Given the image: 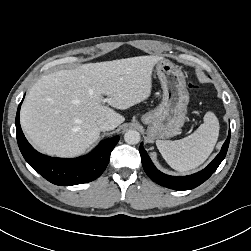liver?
Segmentation results:
<instances>
[{
    "label": "liver",
    "instance_id": "obj_1",
    "mask_svg": "<svg viewBox=\"0 0 251 251\" xmlns=\"http://www.w3.org/2000/svg\"><path fill=\"white\" fill-rule=\"evenodd\" d=\"M160 60L159 56H137L83 64L41 77L21 108L25 135L45 154H82L99 138L98 119L111 120L116 127L125 120L104 103L125 110L147 99L153 67Z\"/></svg>",
    "mask_w": 251,
    "mask_h": 251
}]
</instances>
